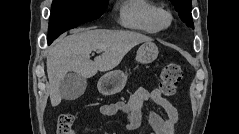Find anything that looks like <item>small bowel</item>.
Returning a JSON list of instances; mask_svg holds the SVG:
<instances>
[{
  "label": "small bowel",
  "mask_w": 239,
  "mask_h": 134,
  "mask_svg": "<svg viewBox=\"0 0 239 134\" xmlns=\"http://www.w3.org/2000/svg\"><path fill=\"white\" fill-rule=\"evenodd\" d=\"M146 103L161 107L165 115L162 116L152 110L145 112ZM100 112L106 116L124 113L129 130L139 129L143 119L146 118L152 128L151 134H175L179 122L177 107L157 88L152 90L140 88L130 96L127 102L115 101L101 105ZM71 134H80V126L78 125Z\"/></svg>",
  "instance_id": "small-bowel-1"
}]
</instances>
